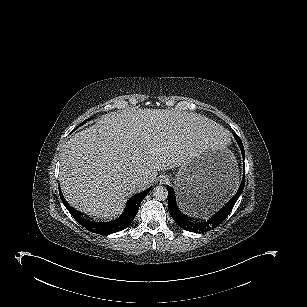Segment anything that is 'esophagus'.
I'll use <instances>...</instances> for the list:
<instances>
[{
    "instance_id": "obj_1",
    "label": "esophagus",
    "mask_w": 307,
    "mask_h": 307,
    "mask_svg": "<svg viewBox=\"0 0 307 307\" xmlns=\"http://www.w3.org/2000/svg\"><path fill=\"white\" fill-rule=\"evenodd\" d=\"M160 183H161V184L167 183V180H166V179H161V180H160Z\"/></svg>"
}]
</instances>
